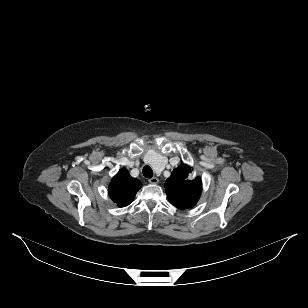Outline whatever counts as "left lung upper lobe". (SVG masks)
I'll return each mask as SVG.
<instances>
[{
	"mask_svg": "<svg viewBox=\"0 0 308 308\" xmlns=\"http://www.w3.org/2000/svg\"><path fill=\"white\" fill-rule=\"evenodd\" d=\"M190 167L181 164L171 173L165 182V191L169 201L179 209L194 206L201 194L202 184L199 177L189 180Z\"/></svg>",
	"mask_w": 308,
	"mask_h": 308,
	"instance_id": "5c2ea615",
	"label": "left lung upper lobe"
}]
</instances>
